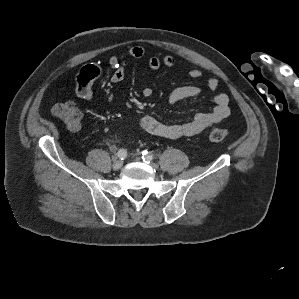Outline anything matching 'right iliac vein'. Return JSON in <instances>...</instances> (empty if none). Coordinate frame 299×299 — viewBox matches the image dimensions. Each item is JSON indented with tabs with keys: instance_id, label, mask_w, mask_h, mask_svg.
<instances>
[{
	"instance_id": "63e3f726",
	"label": "right iliac vein",
	"mask_w": 299,
	"mask_h": 299,
	"mask_svg": "<svg viewBox=\"0 0 299 299\" xmlns=\"http://www.w3.org/2000/svg\"><path fill=\"white\" fill-rule=\"evenodd\" d=\"M122 166H123V162L121 160L114 162L112 165L114 170H119L122 168Z\"/></svg>"
}]
</instances>
